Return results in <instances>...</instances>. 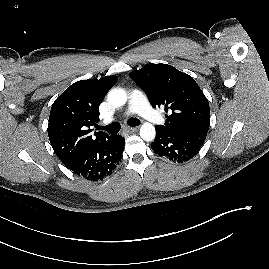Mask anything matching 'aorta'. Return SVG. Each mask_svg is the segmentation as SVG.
Here are the masks:
<instances>
[{"instance_id": "aorta-1", "label": "aorta", "mask_w": 269, "mask_h": 269, "mask_svg": "<svg viewBox=\"0 0 269 269\" xmlns=\"http://www.w3.org/2000/svg\"><path fill=\"white\" fill-rule=\"evenodd\" d=\"M108 102L114 107H121L127 101V94L123 89L115 88L108 93ZM156 136L155 127L148 122H145L140 128V137L144 141H152Z\"/></svg>"}]
</instances>
